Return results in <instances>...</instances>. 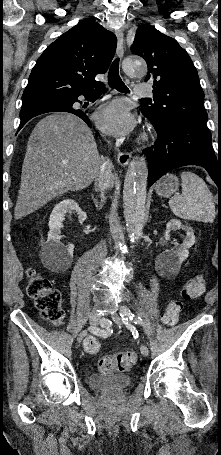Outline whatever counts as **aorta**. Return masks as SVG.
Instances as JSON below:
<instances>
[{"instance_id": "aorta-1", "label": "aorta", "mask_w": 221, "mask_h": 455, "mask_svg": "<svg viewBox=\"0 0 221 455\" xmlns=\"http://www.w3.org/2000/svg\"><path fill=\"white\" fill-rule=\"evenodd\" d=\"M123 70L130 76H144L146 64L136 58L129 57L123 62ZM148 167L144 157L130 161L124 180L123 207L127 232L132 241L142 236Z\"/></svg>"}]
</instances>
